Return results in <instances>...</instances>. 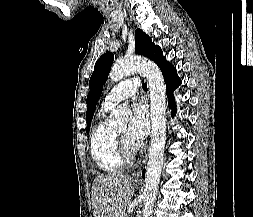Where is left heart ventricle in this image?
Listing matches in <instances>:
<instances>
[{
  "instance_id": "obj_1",
  "label": "left heart ventricle",
  "mask_w": 253,
  "mask_h": 217,
  "mask_svg": "<svg viewBox=\"0 0 253 217\" xmlns=\"http://www.w3.org/2000/svg\"><path fill=\"white\" fill-rule=\"evenodd\" d=\"M117 132H118L120 135H122V136H124L125 138H127L128 140H130V139H129V136H128V128H127V127H122V128H120V129H118ZM130 141H131V140H130ZM131 142H132V141H131Z\"/></svg>"
}]
</instances>
